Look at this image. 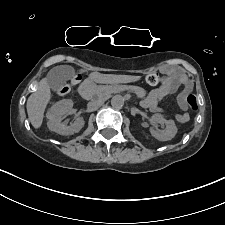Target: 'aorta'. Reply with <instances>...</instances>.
Segmentation results:
<instances>
[{
	"label": "aorta",
	"mask_w": 225,
	"mask_h": 225,
	"mask_svg": "<svg viewBox=\"0 0 225 225\" xmlns=\"http://www.w3.org/2000/svg\"><path fill=\"white\" fill-rule=\"evenodd\" d=\"M125 104V98L122 95H115L111 99V105L115 109H122Z\"/></svg>",
	"instance_id": "aorta-1"
}]
</instances>
